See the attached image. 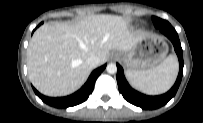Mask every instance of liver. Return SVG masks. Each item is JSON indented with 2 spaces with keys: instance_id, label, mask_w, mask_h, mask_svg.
Listing matches in <instances>:
<instances>
[{
  "instance_id": "1",
  "label": "liver",
  "mask_w": 203,
  "mask_h": 123,
  "mask_svg": "<svg viewBox=\"0 0 203 123\" xmlns=\"http://www.w3.org/2000/svg\"><path fill=\"white\" fill-rule=\"evenodd\" d=\"M117 15H92L74 23H47L33 34L27 49L28 76L42 94L58 97L78 90L92 71L90 55L104 64L109 51L127 52L143 37Z\"/></svg>"
}]
</instances>
